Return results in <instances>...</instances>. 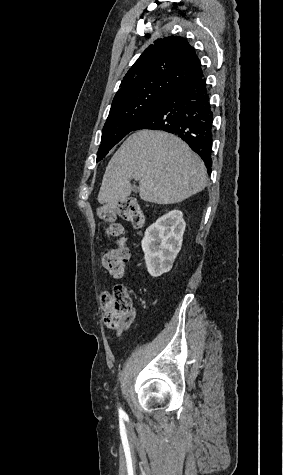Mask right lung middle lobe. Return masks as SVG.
<instances>
[{
    "label": "right lung middle lobe",
    "instance_id": "right-lung-middle-lobe-1",
    "mask_svg": "<svg viewBox=\"0 0 283 475\" xmlns=\"http://www.w3.org/2000/svg\"><path fill=\"white\" fill-rule=\"evenodd\" d=\"M171 90H155L123 101L112 103L109 116L102 130L97 161L125 137L141 119L160 104Z\"/></svg>",
    "mask_w": 283,
    "mask_h": 475
}]
</instances>
